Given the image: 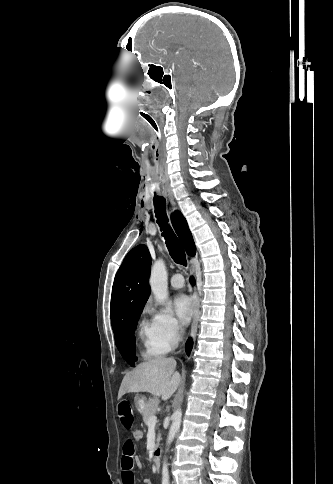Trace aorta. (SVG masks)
Segmentation results:
<instances>
[{
  "mask_svg": "<svg viewBox=\"0 0 333 484\" xmlns=\"http://www.w3.org/2000/svg\"><path fill=\"white\" fill-rule=\"evenodd\" d=\"M151 291L159 301H165L168 296V282L167 272L165 269L164 261L159 259L151 268V274L149 279ZM182 410L177 409L172 415V423L169 429L166 452L169 450V446L173 442L176 434L181 426ZM169 473L167 458L164 457L162 465V484H168Z\"/></svg>",
  "mask_w": 333,
  "mask_h": 484,
  "instance_id": "obj_1",
  "label": "aorta"
}]
</instances>
